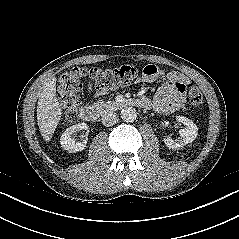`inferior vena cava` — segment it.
<instances>
[{"label": "inferior vena cava", "instance_id": "1", "mask_svg": "<svg viewBox=\"0 0 239 239\" xmlns=\"http://www.w3.org/2000/svg\"><path fill=\"white\" fill-rule=\"evenodd\" d=\"M101 120L103 125L109 127V126H113L114 124L118 122V116L116 113L108 112L102 116Z\"/></svg>", "mask_w": 239, "mask_h": 239}]
</instances>
